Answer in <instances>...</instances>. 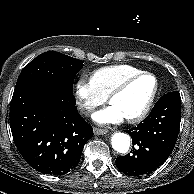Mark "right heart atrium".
<instances>
[{
	"instance_id": "obj_1",
	"label": "right heart atrium",
	"mask_w": 194,
	"mask_h": 194,
	"mask_svg": "<svg viewBox=\"0 0 194 194\" xmlns=\"http://www.w3.org/2000/svg\"><path fill=\"white\" fill-rule=\"evenodd\" d=\"M74 94L77 106L84 115H90L96 107L105 102V98L97 92L91 80L85 76H81L76 81Z\"/></svg>"
}]
</instances>
